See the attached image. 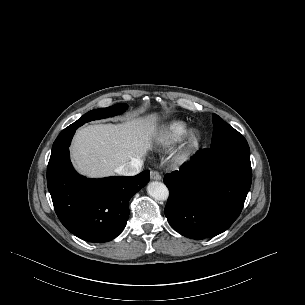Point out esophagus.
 <instances>
[{"instance_id":"esophagus-1","label":"esophagus","mask_w":305,"mask_h":305,"mask_svg":"<svg viewBox=\"0 0 305 305\" xmlns=\"http://www.w3.org/2000/svg\"><path fill=\"white\" fill-rule=\"evenodd\" d=\"M150 178H151L152 180H161V179H162L160 173L157 172V171H152V172L150 173Z\"/></svg>"}]
</instances>
